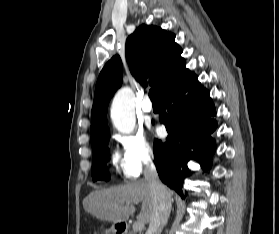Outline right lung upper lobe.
<instances>
[{
    "mask_svg": "<svg viewBox=\"0 0 279 234\" xmlns=\"http://www.w3.org/2000/svg\"><path fill=\"white\" fill-rule=\"evenodd\" d=\"M175 35L160 27L141 25L126 40V59L132 75L146 86L149 77L160 95L185 68L182 49L174 41ZM122 84V61L111 58L102 69L95 88L91 116V145L110 135L107 127V106L113 93Z\"/></svg>",
    "mask_w": 279,
    "mask_h": 234,
    "instance_id": "obj_1",
    "label": "right lung upper lobe"
}]
</instances>
